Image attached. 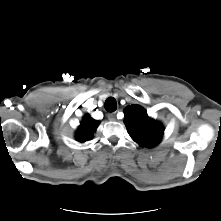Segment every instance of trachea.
Returning <instances> with one entry per match:
<instances>
[{
	"mask_svg": "<svg viewBox=\"0 0 221 221\" xmlns=\"http://www.w3.org/2000/svg\"><path fill=\"white\" fill-rule=\"evenodd\" d=\"M106 111L114 112L117 109V102L113 97H109L104 104Z\"/></svg>",
	"mask_w": 221,
	"mask_h": 221,
	"instance_id": "3493384b",
	"label": "trachea"
}]
</instances>
